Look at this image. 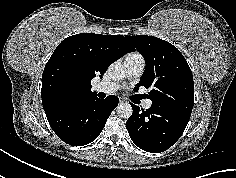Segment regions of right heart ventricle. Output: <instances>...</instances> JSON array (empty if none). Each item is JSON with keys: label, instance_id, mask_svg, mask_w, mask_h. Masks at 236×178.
<instances>
[{"label": "right heart ventricle", "instance_id": "e07e8e85", "mask_svg": "<svg viewBox=\"0 0 236 178\" xmlns=\"http://www.w3.org/2000/svg\"><path fill=\"white\" fill-rule=\"evenodd\" d=\"M131 55H139L138 53H133V54H131Z\"/></svg>", "mask_w": 236, "mask_h": 178}]
</instances>
